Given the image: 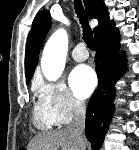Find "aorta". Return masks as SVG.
Masks as SVG:
<instances>
[{
	"label": "aorta",
	"instance_id": "762f6f07",
	"mask_svg": "<svg viewBox=\"0 0 139 150\" xmlns=\"http://www.w3.org/2000/svg\"><path fill=\"white\" fill-rule=\"evenodd\" d=\"M67 50V32L62 28L58 29L47 41L41 58V69L46 79L55 81L62 75Z\"/></svg>",
	"mask_w": 139,
	"mask_h": 150
}]
</instances>
